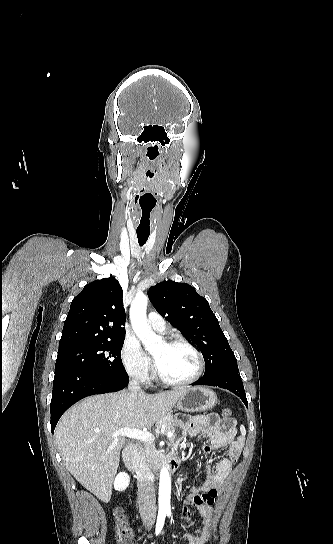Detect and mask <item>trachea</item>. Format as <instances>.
<instances>
[{
    "mask_svg": "<svg viewBox=\"0 0 333 544\" xmlns=\"http://www.w3.org/2000/svg\"><path fill=\"white\" fill-rule=\"evenodd\" d=\"M150 233H138L137 232V238H138V243H139V246L142 247L146 241L148 240V237H149Z\"/></svg>",
    "mask_w": 333,
    "mask_h": 544,
    "instance_id": "trachea-1",
    "label": "trachea"
}]
</instances>
